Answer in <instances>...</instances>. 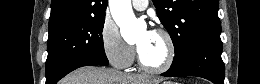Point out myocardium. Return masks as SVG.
Wrapping results in <instances>:
<instances>
[{
    "label": "myocardium",
    "mask_w": 260,
    "mask_h": 84,
    "mask_svg": "<svg viewBox=\"0 0 260 84\" xmlns=\"http://www.w3.org/2000/svg\"><path fill=\"white\" fill-rule=\"evenodd\" d=\"M154 33L161 35L167 45L168 52H167V57H166L165 62L162 65L156 66V67L147 65L144 62L138 47H136L137 61H138L139 67L143 71L152 73V74H162V73L167 72L172 67L174 60H175L176 47H175L173 37L167 30H165L163 28H158L154 31Z\"/></svg>",
    "instance_id": "f54148a6"
}]
</instances>
